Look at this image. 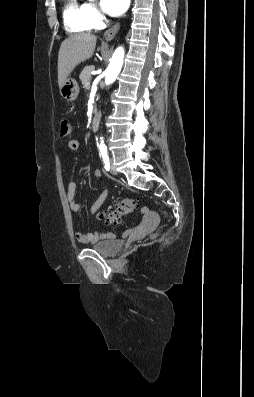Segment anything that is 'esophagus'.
<instances>
[{"label":"esophagus","mask_w":254,"mask_h":397,"mask_svg":"<svg viewBox=\"0 0 254 397\" xmlns=\"http://www.w3.org/2000/svg\"><path fill=\"white\" fill-rule=\"evenodd\" d=\"M119 27H120V25H119V23H117L114 26H112L111 28H109L104 34L105 39L107 41L112 40L115 37L116 33L118 32Z\"/></svg>","instance_id":"34e87169"}]
</instances>
